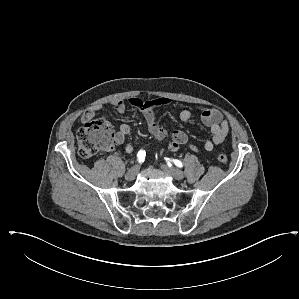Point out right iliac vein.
Returning <instances> with one entry per match:
<instances>
[{"label": "right iliac vein", "instance_id": "1", "mask_svg": "<svg viewBox=\"0 0 299 299\" xmlns=\"http://www.w3.org/2000/svg\"><path fill=\"white\" fill-rule=\"evenodd\" d=\"M140 170V165H134L131 167L125 175V179L128 181H133Z\"/></svg>", "mask_w": 299, "mask_h": 299}]
</instances>
